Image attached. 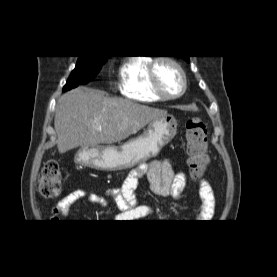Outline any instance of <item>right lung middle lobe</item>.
Listing matches in <instances>:
<instances>
[{
  "label": "right lung middle lobe",
  "mask_w": 277,
  "mask_h": 277,
  "mask_svg": "<svg viewBox=\"0 0 277 277\" xmlns=\"http://www.w3.org/2000/svg\"><path fill=\"white\" fill-rule=\"evenodd\" d=\"M108 57L79 56L75 69L71 72L66 85L63 87V92L92 80L98 74Z\"/></svg>",
  "instance_id": "1"
}]
</instances>
